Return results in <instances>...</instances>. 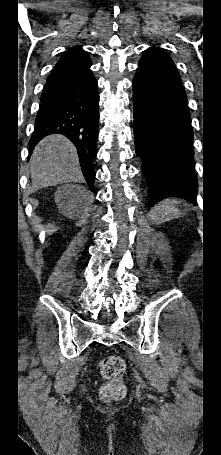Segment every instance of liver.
<instances>
[{"mask_svg":"<svg viewBox=\"0 0 221 455\" xmlns=\"http://www.w3.org/2000/svg\"><path fill=\"white\" fill-rule=\"evenodd\" d=\"M30 174L33 190L80 181L82 174L74 145L62 135L45 137L35 147Z\"/></svg>","mask_w":221,"mask_h":455,"instance_id":"obj_1","label":"liver"}]
</instances>
